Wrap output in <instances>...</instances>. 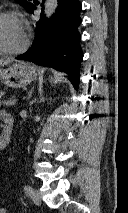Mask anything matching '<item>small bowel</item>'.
Returning <instances> with one entry per match:
<instances>
[{"label":"small bowel","mask_w":128,"mask_h":213,"mask_svg":"<svg viewBox=\"0 0 128 213\" xmlns=\"http://www.w3.org/2000/svg\"><path fill=\"white\" fill-rule=\"evenodd\" d=\"M0 115H2L1 112H0ZM0 213H6V211L3 208H0Z\"/></svg>","instance_id":"1"}]
</instances>
